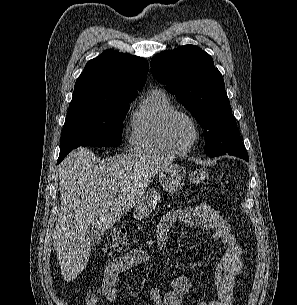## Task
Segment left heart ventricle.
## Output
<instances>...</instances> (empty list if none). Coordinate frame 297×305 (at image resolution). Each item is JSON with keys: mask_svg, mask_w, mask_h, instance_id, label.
Masks as SVG:
<instances>
[{"mask_svg": "<svg viewBox=\"0 0 297 305\" xmlns=\"http://www.w3.org/2000/svg\"><path fill=\"white\" fill-rule=\"evenodd\" d=\"M170 135L173 142L180 147L188 146L194 138V129L190 121L183 117L177 116L170 125Z\"/></svg>", "mask_w": 297, "mask_h": 305, "instance_id": "obj_1", "label": "left heart ventricle"}]
</instances>
